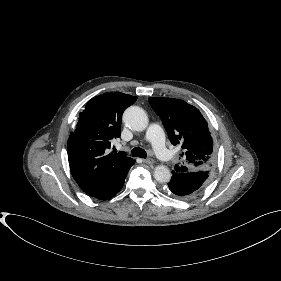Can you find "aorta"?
I'll list each match as a JSON object with an SVG mask.
<instances>
[{
  "label": "aorta",
  "instance_id": "762f6f07",
  "mask_svg": "<svg viewBox=\"0 0 281 281\" xmlns=\"http://www.w3.org/2000/svg\"><path fill=\"white\" fill-rule=\"evenodd\" d=\"M123 120L127 126L135 131H143L148 126V117L145 111L138 106L128 107L123 114ZM154 178L160 183L169 182L170 170L164 165H158L154 169Z\"/></svg>",
  "mask_w": 281,
  "mask_h": 281
}]
</instances>
